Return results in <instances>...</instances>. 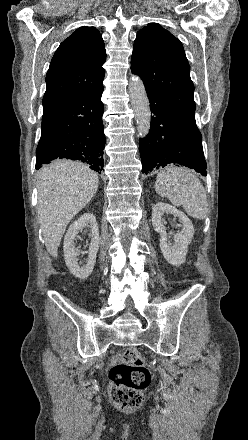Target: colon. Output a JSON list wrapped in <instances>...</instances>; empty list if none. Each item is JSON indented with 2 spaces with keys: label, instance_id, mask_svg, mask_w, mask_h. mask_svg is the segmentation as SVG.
Returning <instances> with one entry per match:
<instances>
[{
  "label": "colon",
  "instance_id": "5ec220e1",
  "mask_svg": "<svg viewBox=\"0 0 248 440\" xmlns=\"http://www.w3.org/2000/svg\"><path fill=\"white\" fill-rule=\"evenodd\" d=\"M110 396L122 411H133L143 403V391L149 386L151 374L136 348H128L122 362L109 372Z\"/></svg>",
  "mask_w": 248,
  "mask_h": 440
}]
</instances>
